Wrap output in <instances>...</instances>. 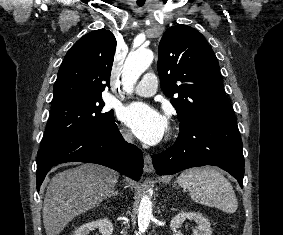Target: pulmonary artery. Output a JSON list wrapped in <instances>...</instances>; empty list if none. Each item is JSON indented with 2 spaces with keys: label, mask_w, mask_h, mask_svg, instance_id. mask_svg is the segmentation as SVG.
<instances>
[{
  "label": "pulmonary artery",
  "mask_w": 283,
  "mask_h": 235,
  "mask_svg": "<svg viewBox=\"0 0 283 235\" xmlns=\"http://www.w3.org/2000/svg\"><path fill=\"white\" fill-rule=\"evenodd\" d=\"M157 91V77L153 73H147L134 88V93L139 96L149 97Z\"/></svg>",
  "instance_id": "1"
}]
</instances>
